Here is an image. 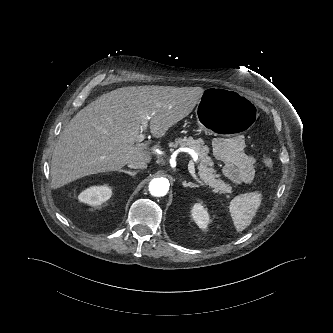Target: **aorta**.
I'll use <instances>...</instances> for the list:
<instances>
[{
	"label": "aorta",
	"mask_w": 333,
	"mask_h": 333,
	"mask_svg": "<svg viewBox=\"0 0 333 333\" xmlns=\"http://www.w3.org/2000/svg\"><path fill=\"white\" fill-rule=\"evenodd\" d=\"M148 187L152 196L163 197L168 193L169 182L165 178H154L150 181Z\"/></svg>",
	"instance_id": "1"
}]
</instances>
